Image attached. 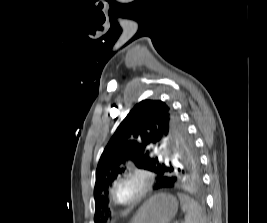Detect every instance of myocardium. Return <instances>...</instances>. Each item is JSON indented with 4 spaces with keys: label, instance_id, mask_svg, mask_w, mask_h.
<instances>
[{
    "label": "myocardium",
    "instance_id": "obj_1",
    "mask_svg": "<svg viewBox=\"0 0 267 223\" xmlns=\"http://www.w3.org/2000/svg\"><path fill=\"white\" fill-rule=\"evenodd\" d=\"M134 179L140 184V188L135 196L132 198L122 201L117 197V187L124 181ZM154 183V175L151 171L141 167H130L125 172L119 174L113 181L110 194L113 201L122 206H132L140 202L152 189Z\"/></svg>",
    "mask_w": 267,
    "mask_h": 223
}]
</instances>
